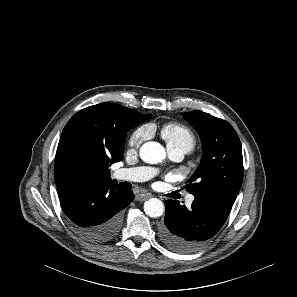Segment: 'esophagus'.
<instances>
[{"label":"esophagus","instance_id":"1","mask_svg":"<svg viewBox=\"0 0 297 297\" xmlns=\"http://www.w3.org/2000/svg\"><path fill=\"white\" fill-rule=\"evenodd\" d=\"M151 197H152V195L150 193H139V194L136 195L135 198H136L137 201L142 202V201H145V200H147V199H149Z\"/></svg>","mask_w":297,"mask_h":297}]
</instances>
